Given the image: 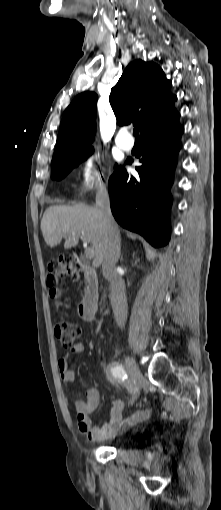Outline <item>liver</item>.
<instances>
[{"label": "liver", "mask_w": 221, "mask_h": 510, "mask_svg": "<svg viewBox=\"0 0 221 510\" xmlns=\"http://www.w3.org/2000/svg\"><path fill=\"white\" fill-rule=\"evenodd\" d=\"M41 230L48 246L55 247L64 238L65 249L76 247L80 234L84 233L94 251L93 267L97 268L102 264L108 234L104 227L103 214L97 206H50L42 217Z\"/></svg>", "instance_id": "liver-1"}]
</instances>
